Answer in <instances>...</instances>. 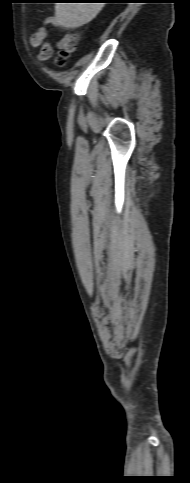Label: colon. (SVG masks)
Wrapping results in <instances>:
<instances>
[{
    "label": "colon",
    "mask_w": 190,
    "mask_h": 483,
    "mask_svg": "<svg viewBox=\"0 0 190 483\" xmlns=\"http://www.w3.org/2000/svg\"><path fill=\"white\" fill-rule=\"evenodd\" d=\"M77 39V37L74 38L73 42H71L66 48L65 50L61 53L59 59L57 60V64L59 66H62L64 63H65V58L66 56L72 52L74 50V42L75 40Z\"/></svg>",
    "instance_id": "1"
}]
</instances>
